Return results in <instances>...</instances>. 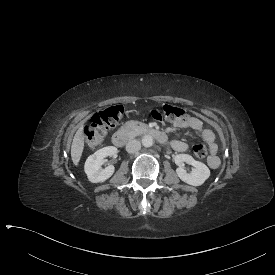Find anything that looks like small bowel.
Listing matches in <instances>:
<instances>
[{
    "label": "small bowel",
    "mask_w": 275,
    "mask_h": 275,
    "mask_svg": "<svg viewBox=\"0 0 275 275\" xmlns=\"http://www.w3.org/2000/svg\"><path fill=\"white\" fill-rule=\"evenodd\" d=\"M174 125L179 129L189 128L195 132H199L201 138L209 145L211 150L208 165L213 169L219 166L220 160L216 155L217 144L215 142V135L210 129L203 128V123L198 117L189 116L184 120L174 122ZM172 147L178 152H185L188 149L187 143L179 140L172 141Z\"/></svg>",
    "instance_id": "small-bowel-1"
}]
</instances>
